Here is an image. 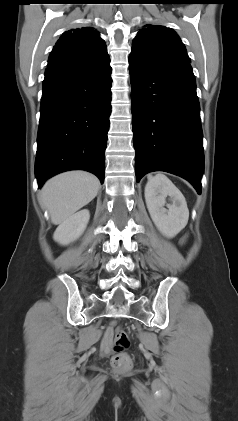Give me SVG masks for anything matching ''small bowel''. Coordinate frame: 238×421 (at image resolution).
Masks as SVG:
<instances>
[{"label": "small bowel", "mask_w": 238, "mask_h": 421, "mask_svg": "<svg viewBox=\"0 0 238 421\" xmlns=\"http://www.w3.org/2000/svg\"><path fill=\"white\" fill-rule=\"evenodd\" d=\"M111 342H112L111 337L109 336L108 331H107L102 342V345L105 351H108Z\"/></svg>", "instance_id": "1"}]
</instances>
